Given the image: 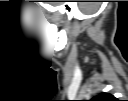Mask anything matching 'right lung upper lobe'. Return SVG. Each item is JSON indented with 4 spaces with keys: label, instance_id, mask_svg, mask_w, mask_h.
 <instances>
[{
    "label": "right lung upper lobe",
    "instance_id": "right-lung-upper-lobe-1",
    "mask_svg": "<svg viewBox=\"0 0 128 101\" xmlns=\"http://www.w3.org/2000/svg\"><path fill=\"white\" fill-rule=\"evenodd\" d=\"M97 101H114V97L108 93H103L95 97Z\"/></svg>",
    "mask_w": 128,
    "mask_h": 101
}]
</instances>
